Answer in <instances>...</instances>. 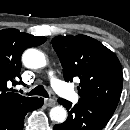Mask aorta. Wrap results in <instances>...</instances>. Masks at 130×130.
<instances>
[{
    "mask_svg": "<svg viewBox=\"0 0 130 130\" xmlns=\"http://www.w3.org/2000/svg\"><path fill=\"white\" fill-rule=\"evenodd\" d=\"M22 62L25 67L39 69L47 65L45 55L34 48L27 49L22 55ZM50 118L57 123H63L67 118V111L62 106H55L50 110Z\"/></svg>",
    "mask_w": 130,
    "mask_h": 130,
    "instance_id": "aorta-1",
    "label": "aorta"
}]
</instances>
